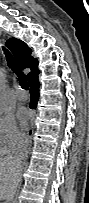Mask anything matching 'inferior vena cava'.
Masks as SVG:
<instances>
[{"label": "inferior vena cava", "instance_id": "obj_1", "mask_svg": "<svg viewBox=\"0 0 89 203\" xmlns=\"http://www.w3.org/2000/svg\"><path fill=\"white\" fill-rule=\"evenodd\" d=\"M28 146H29V140L26 136L18 138V146H17V151L15 153L14 158L18 162L19 179L21 175L23 161L27 158Z\"/></svg>", "mask_w": 89, "mask_h": 203}]
</instances>
